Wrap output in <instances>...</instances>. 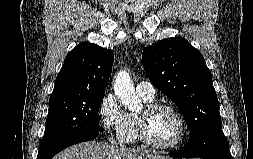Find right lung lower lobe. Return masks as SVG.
Here are the masks:
<instances>
[{
    "label": "right lung lower lobe",
    "instance_id": "98d812e1",
    "mask_svg": "<svg viewBox=\"0 0 253 159\" xmlns=\"http://www.w3.org/2000/svg\"><path fill=\"white\" fill-rule=\"evenodd\" d=\"M98 134L99 132L98 133H81L75 136H71L55 144L51 149H49L43 155H38L37 159H51L53 156H55L58 152L62 151L63 149L80 142L93 140L98 136Z\"/></svg>",
    "mask_w": 253,
    "mask_h": 159
}]
</instances>
